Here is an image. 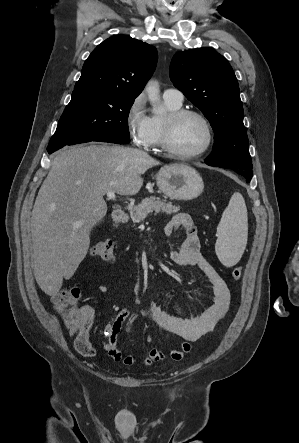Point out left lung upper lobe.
Wrapping results in <instances>:
<instances>
[{"label":"left lung upper lobe","instance_id":"obj_1","mask_svg":"<svg viewBox=\"0 0 299 443\" xmlns=\"http://www.w3.org/2000/svg\"><path fill=\"white\" fill-rule=\"evenodd\" d=\"M170 78L213 128V152L206 161L252 169L238 81L227 59L213 48L181 51L172 58Z\"/></svg>","mask_w":299,"mask_h":443}]
</instances>
